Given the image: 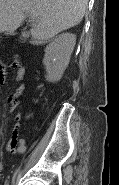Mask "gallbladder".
I'll return each mask as SVG.
<instances>
[{
    "instance_id": "obj_1",
    "label": "gallbladder",
    "mask_w": 119,
    "mask_h": 185,
    "mask_svg": "<svg viewBox=\"0 0 119 185\" xmlns=\"http://www.w3.org/2000/svg\"><path fill=\"white\" fill-rule=\"evenodd\" d=\"M22 35H23V37H27L28 36V34L25 33V32H22Z\"/></svg>"
}]
</instances>
